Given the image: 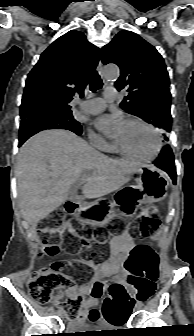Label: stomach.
Here are the masks:
<instances>
[{"mask_svg": "<svg viewBox=\"0 0 194 336\" xmlns=\"http://www.w3.org/2000/svg\"><path fill=\"white\" fill-rule=\"evenodd\" d=\"M136 173V185L118 193L113 203L101 202L92 207H80L74 215L82 223L103 226L115 215L114 206L120 204L125 214L135 212L142 204L162 201L167 196L168 181L154 166L141 164Z\"/></svg>", "mask_w": 194, "mask_h": 336, "instance_id": "0dacf381", "label": "stomach"}]
</instances>
